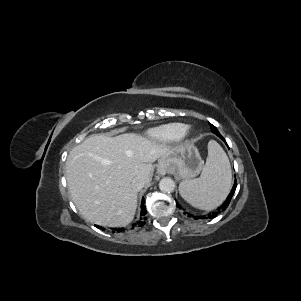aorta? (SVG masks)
Masks as SVG:
<instances>
[{
  "label": "aorta",
  "instance_id": "1",
  "mask_svg": "<svg viewBox=\"0 0 301 301\" xmlns=\"http://www.w3.org/2000/svg\"><path fill=\"white\" fill-rule=\"evenodd\" d=\"M159 188L164 193H171L175 189V182L169 177L162 178L159 183Z\"/></svg>",
  "mask_w": 301,
  "mask_h": 301
}]
</instances>
